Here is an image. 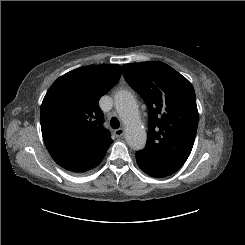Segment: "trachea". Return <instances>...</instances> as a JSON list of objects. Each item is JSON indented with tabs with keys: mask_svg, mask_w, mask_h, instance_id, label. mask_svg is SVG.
Segmentation results:
<instances>
[{
	"mask_svg": "<svg viewBox=\"0 0 245 245\" xmlns=\"http://www.w3.org/2000/svg\"><path fill=\"white\" fill-rule=\"evenodd\" d=\"M110 124L113 129H118L120 127V122L116 117L111 118Z\"/></svg>",
	"mask_w": 245,
	"mask_h": 245,
	"instance_id": "obj_1",
	"label": "trachea"
}]
</instances>
